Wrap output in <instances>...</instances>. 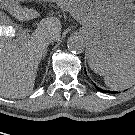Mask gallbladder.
I'll return each instance as SVG.
<instances>
[{
    "instance_id": "obj_1",
    "label": "gallbladder",
    "mask_w": 135,
    "mask_h": 135,
    "mask_svg": "<svg viewBox=\"0 0 135 135\" xmlns=\"http://www.w3.org/2000/svg\"><path fill=\"white\" fill-rule=\"evenodd\" d=\"M2 24L8 25L9 20L8 17L2 11H0V25Z\"/></svg>"
}]
</instances>
